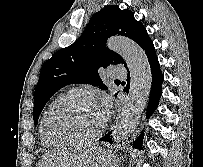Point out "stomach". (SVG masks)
Here are the masks:
<instances>
[{"mask_svg":"<svg viewBox=\"0 0 203 167\" xmlns=\"http://www.w3.org/2000/svg\"><path fill=\"white\" fill-rule=\"evenodd\" d=\"M82 167H116V162L106 151L94 148Z\"/></svg>","mask_w":203,"mask_h":167,"instance_id":"stomach-1","label":"stomach"}]
</instances>
